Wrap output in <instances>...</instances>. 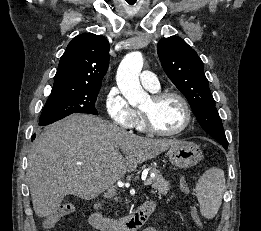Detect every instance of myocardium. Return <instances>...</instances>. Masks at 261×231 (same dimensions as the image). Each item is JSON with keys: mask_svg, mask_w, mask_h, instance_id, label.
I'll list each match as a JSON object with an SVG mask.
<instances>
[{"mask_svg": "<svg viewBox=\"0 0 261 231\" xmlns=\"http://www.w3.org/2000/svg\"><path fill=\"white\" fill-rule=\"evenodd\" d=\"M173 97L180 101L184 110V122L182 126L174 131H163L160 130L153 122L150 112L141 109V115L145 129L152 134L159 136H175L183 133L190 125L192 120V111L187 99L175 91H162L154 93L150 98L153 103L157 104L162 100Z\"/></svg>", "mask_w": 261, "mask_h": 231, "instance_id": "f54148a6", "label": "myocardium"}]
</instances>
